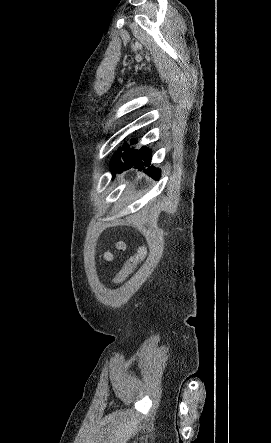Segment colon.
<instances>
[{
	"label": "colon",
	"instance_id": "obj_1",
	"mask_svg": "<svg viewBox=\"0 0 271 443\" xmlns=\"http://www.w3.org/2000/svg\"><path fill=\"white\" fill-rule=\"evenodd\" d=\"M118 248L121 250L124 249V244L119 243ZM146 255H147L146 246H140L137 252L126 261L123 269L118 273L117 277L115 278L114 283L115 284L123 283L135 270L137 265L145 259ZM105 258L107 260H111L112 255L110 253H106Z\"/></svg>",
	"mask_w": 271,
	"mask_h": 443
}]
</instances>
